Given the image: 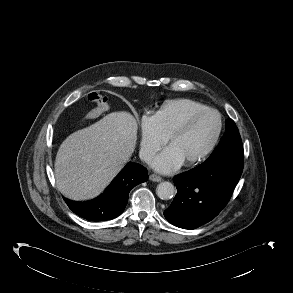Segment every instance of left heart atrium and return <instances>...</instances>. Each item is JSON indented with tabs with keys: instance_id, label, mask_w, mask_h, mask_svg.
I'll return each mask as SVG.
<instances>
[{
	"instance_id": "1",
	"label": "left heart atrium",
	"mask_w": 293,
	"mask_h": 293,
	"mask_svg": "<svg viewBox=\"0 0 293 293\" xmlns=\"http://www.w3.org/2000/svg\"><path fill=\"white\" fill-rule=\"evenodd\" d=\"M183 164L182 159L170 146L165 148L151 162L152 167L162 173H169Z\"/></svg>"
}]
</instances>
